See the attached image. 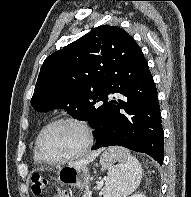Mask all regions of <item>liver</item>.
Instances as JSON below:
<instances>
[{"instance_id":"6515ba94","label":"liver","mask_w":191,"mask_h":197,"mask_svg":"<svg viewBox=\"0 0 191 197\" xmlns=\"http://www.w3.org/2000/svg\"><path fill=\"white\" fill-rule=\"evenodd\" d=\"M101 151L94 152L87 156L86 158H83L79 161L73 162L70 164V166H75V167H81V166H86L90 162H92L99 154Z\"/></svg>"}]
</instances>
